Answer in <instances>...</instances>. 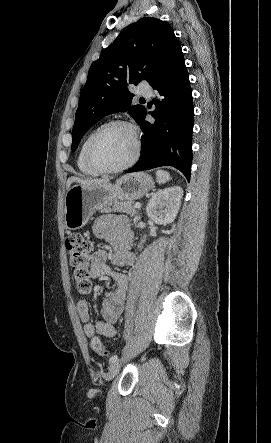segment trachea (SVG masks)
Wrapping results in <instances>:
<instances>
[{
  "label": "trachea",
  "instance_id": "trachea-1",
  "mask_svg": "<svg viewBox=\"0 0 271 443\" xmlns=\"http://www.w3.org/2000/svg\"><path fill=\"white\" fill-rule=\"evenodd\" d=\"M139 101H140V102H141V101H145V99H144V98H140Z\"/></svg>",
  "mask_w": 271,
  "mask_h": 443
}]
</instances>
